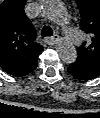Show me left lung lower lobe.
Returning <instances> with one entry per match:
<instances>
[{
	"mask_svg": "<svg viewBox=\"0 0 100 118\" xmlns=\"http://www.w3.org/2000/svg\"><path fill=\"white\" fill-rule=\"evenodd\" d=\"M67 71L76 79L86 81L100 75V70L98 68L90 66L78 59L69 65Z\"/></svg>",
	"mask_w": 100,
	"mask_h": 118,
	"instance_id": "obj_1",
	"label": "left lung lower lobe"
}]
</instances>
